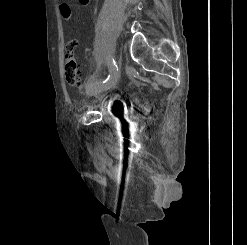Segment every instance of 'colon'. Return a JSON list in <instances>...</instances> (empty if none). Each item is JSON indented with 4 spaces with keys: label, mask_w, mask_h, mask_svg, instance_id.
Listing matches in <instances>:
<instances>
[{
    "label": "colon",
    "mask_w": 247,
    "mask_h": 245,
    "mask_svg": "<svg viewBox=\"0 0 247 245\" xmlns=\"http://www.w3.org/2000/svg\"><path fill=\"white\" fill-rule=\"evenodd\" d=\"M76 42L69 41L66 46L65 54V78L71 86H80L82 84V72L74 55Z\"/></svg>",
    "instance_id": "1"
}]
</instances>
